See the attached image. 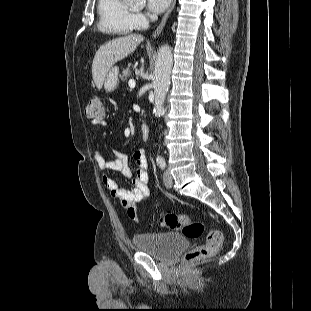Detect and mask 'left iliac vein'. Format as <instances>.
Segmentation results:
<instances>
[{"label":"left iliac vein","mask_w":311,"mask_h":311,"mask_svg":"<svg viewBox=\"0 0 311 311\" xmlns=\"http://www.w3.org/2000/svg\"><path fill=\"white\" fill-rule=\"evenodd\" d=\"M163 182L167 188H171L173 185V179L168 170H165L163 173Z\"/></svg>","instance_id":"left-iliac-vein-1"}]
</instances>
